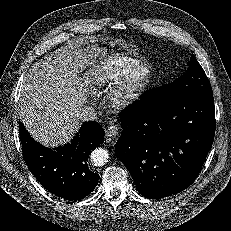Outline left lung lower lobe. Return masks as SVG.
I'll list each match as a JSON object with an SVG mask.
<instances>
[{
  "label": "left lung lower lobe",
  "mask_w": 231,
  "mask_h": 231,
  "mask_svg": "<svg viewBox=\"0 0 231 231\" xmlns=\"http://www.w3.org/2000/svg\"><path fill=\"white\" fill-rule=\"evenodd\" d=\"M145 97L121 111L115 151L138 192L159 199L197 178L214 140V99L202 94L153 105Z\"/></svg>",
  "instance_id": "left-lung-lower-lobe-1"
}]
</instances>
